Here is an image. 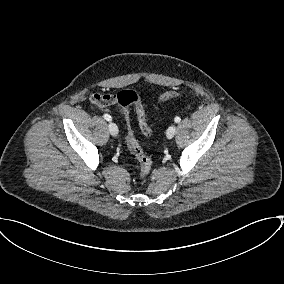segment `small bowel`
I'll return each instance as SVG.
<instances>
[{
	"label": "small bowel",
	"mask_w": 284,
	"mask_h": 284,
	"mask_svg": "<svg viewBox=\"0 0 284 284\" xmlns=\"http://www.w3.org/2000/svg\"><path fill=\"white\" fill-rule=\"evenodd\" d=\"M89 100L102 111H108L110 105H118V97L114 94L92 93L89 96Z\"/></svg>",
	"instance_id": "obj_1"
}]
</instances>
